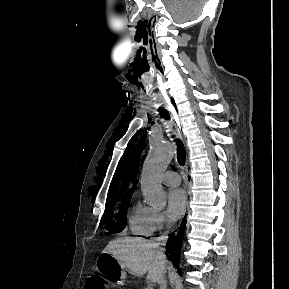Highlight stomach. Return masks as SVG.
<instances>
[{
    "label": "stomach",
    "mask_w": 289,
    "mask_h": 289,
    "mask_svg": "<svg viewBox=\"0 0 289 289\" xmlns=\"http://www.w3.org/2000/svg\"><path fill=\"white\" fill-rule=\"evenodd\" d=\"M96 270L113 280L115 284H123L126 278L124 269L121 268L120 263L111 254L103 253L97 258Z\"/></svg>",
    "instance_id": "1"
}]
</instances>
